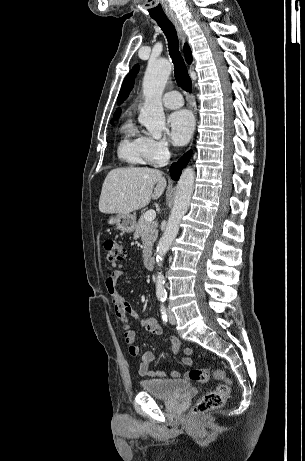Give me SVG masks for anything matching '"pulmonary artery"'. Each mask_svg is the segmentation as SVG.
<instances>
[{
	"instance_id": "obj_1",
	"label": "pulmonary artery",
	"mask_w": 305,
	"mask_h": 461,
	"mask_svg": "<svg viewBox=\"0 0 305 461\" xmlns=\"http://www.w3.org/2000/svg\"><path fill=\"white\" fill-rule=\"evenodd\" d=\"M163 104L170 109H176L183 105V99L179 92L170 91L164 94Z\"/></svg>"
}]
</instances>
